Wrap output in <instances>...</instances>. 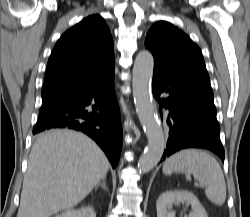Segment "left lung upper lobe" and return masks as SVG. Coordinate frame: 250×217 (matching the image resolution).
<instances>
[{"label": "left lung upper lobe", "mask_w": 250, "mask_h": 217, "mask_svg": "<svg viewBox=\"0 0 250 217\" xmlns=\"http://www.w3.org/2000/svg\"><path fill=\"white\" fill-rule=\"evenodd\" d=\"M145 47L152 52L154 65L159 68L209 77L199 47L169 22L159 21L151 27Z\"/></svg>", "instance_id": "1"}]
</instances>
